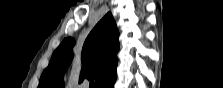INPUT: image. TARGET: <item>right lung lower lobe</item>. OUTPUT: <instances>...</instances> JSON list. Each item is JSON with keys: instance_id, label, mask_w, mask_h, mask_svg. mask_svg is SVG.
Segmentation results:
<instances>
[{"instance_id": "98d812e1", "label": "right lung lower lobe", "mask_w": 223, "mask_h": 88, "mask_svg": "<svg viewBox=\"0 0 223 88\" xmlns=\"http://www.w3.org/2000/svg\"><path fill=\"white\" fill-rule=\"evenodd\" d=\"M114 83H115V80L110 81V82L104 84V86H102V88H113Z\"/></svg>"}]
</instances>
